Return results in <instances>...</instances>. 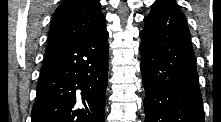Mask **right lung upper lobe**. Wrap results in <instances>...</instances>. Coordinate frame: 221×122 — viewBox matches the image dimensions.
Here are the masks:
<instances>
[{
	"label": "right lung upper lobe",
	"instance_id": "cb5924a9",
	"mask_svg": "<svg viewBox=\"0 0 221 122\" xmlns=\"http://www.w3.org/2000/svg\"><path fill=\"white\" fill-rule=\"evenodd\" d=\"M98 0H64L56 9L46 53L69 45L105 25Z\"/></svg>",
	"mask_w": 221,
	"mask_h": 122
}]
</instances>
